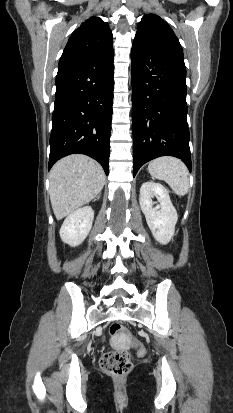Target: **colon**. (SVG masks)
<instances>
[{"instance_id": "colon-1", "label": "colon", "mask_w": 233, "mask_h": 413, "mask_svg": "<svg viewBox=\"0 0 233 413\" xmlns=\"http://www.w3.org/2000/svg\"><path fill=\"white\" fill-rule=\"evenodd\" d=\"M123 331V327L114 323L110 326V333L116 335ZM138 354L144 356L146 354V349L139 343H135ZM100 366L102 370L112 376L122 377L130 372L132 369V362L130 355L126 352H116V351H107L105 352L100 359Z\"/></svg>"}]
</instances>
